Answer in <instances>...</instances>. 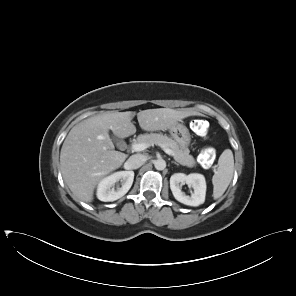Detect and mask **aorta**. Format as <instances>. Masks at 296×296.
Wrapping results in <instances>:
<instances>
[{
  "label": "aorta",
  "instance_id": "obj_1",
  "mask_svg": "<svg viewBox=\"0 0 296 296\" xmlns=\"http://www.w3.org/2000/svg\"><path fill=\"white\" fill-rule=\"evenodd\" d=\"M154 166L157 170H164L166 168V162L164 159H157L154 162Z\"/></svg>",
  "mask_w": 296,
  "mask_h": 296
}]
</instances>
